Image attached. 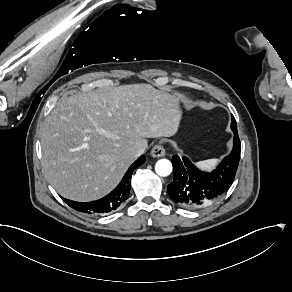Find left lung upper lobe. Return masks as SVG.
<instances>
[{
  "instance_id": "1",
  "label": "left lung upper lobe",
  "mask_w": 292,
  "mask_h": 292,
  "mask_svg": "<svg viewBox=\"0 0 292 292\" xmlns=\"http://www.w3.org/2000/svg\"><path fill=\"white\" fill-rule=\"evenodd\" d=\"M231 129H232V131L234 132V139H235V138L237 139V138H238V134H237V125H236V121H235L233 115H232Z\"/></svg>"
}]
</instances>
